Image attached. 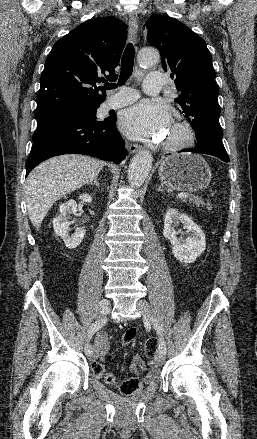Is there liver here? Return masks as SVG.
<instances>
[{"instance_id": "liver-1", "label": "liver", "mask_w": 257, "mask_h": 439, "mask_svg": "<svg viewBox=\"0 0 257 439\" xmlns=\"http://www.w3.org/2000/svg\"><path fill=\"white\" fill-rule=\"evenodd\" d=\"M104 163L68 154L48 159L28 176L25 194L29 219L39 230L53 204L62 196L94 181Z\"/></svg>"}]
</instances>
